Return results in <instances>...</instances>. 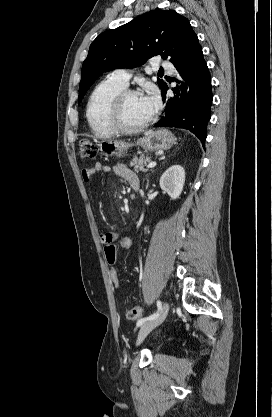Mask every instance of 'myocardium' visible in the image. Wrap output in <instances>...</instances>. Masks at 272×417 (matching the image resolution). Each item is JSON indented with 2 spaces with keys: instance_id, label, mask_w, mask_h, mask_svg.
<instances>
[{
  "instance_id": "obj_1",
  "label": "myocardium",
  "mask_w": 272,
  "mask_h": 417,
  "mask_svg": "<svg viewBox=\"0 0 272 417\" xmlns=\"http://www.w3.org/2000/svg\"><path fill=\"white\" fill-rule=\"evenodd\" d=\"M133 95H139V92L132 89H124L118 95H116V97L113 99L110 105L109 123L116 132L124 134L137 133L151 125L155 119V115L153 114L146 122L138 126H127L126 124H124V122L122 121L123 105L126 99L129 96Z\"/></svg>"
}]
</instances>
